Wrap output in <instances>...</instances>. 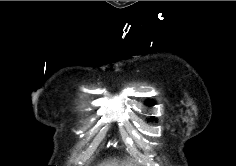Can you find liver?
<instances>
[{
	"instance_id": "obj_1",
	"label": "liver",
	"mask_w": 236,
	"mask_h": 166,
	"mask_svg": "<svg viewBox=\"0 0 236 166\" xmlns=\"http://www.w3.org/2000/svg\"><path fill=\"white\" fill-rule=\"evenodd\" d=\"M124 164V163H123ZM99 166H120L119 164H118V162L116 161V159H114V160H111V161H107V162H105V163H102V164H100Z\"/></svg>"
}]
</instances>
